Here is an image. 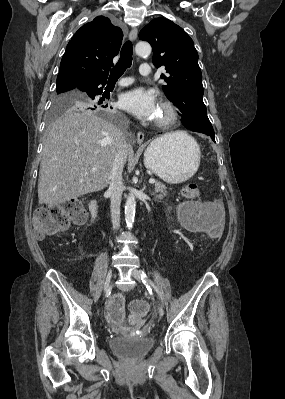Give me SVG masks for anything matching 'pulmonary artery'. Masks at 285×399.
Segmentation results:
<instances>
[{
	"mask_svg": "<svg viewBox=\"0 0 285 399\" xmlns=\"http://www.w3.org/2000/svg\"><path fill=\"white\" fill-rule=\"evenodd\" d=\"M139 74L142 77H150L152 75V70H151V65L150 63H141L139 67ZM132 81L130 79H124L119 82V85L121 86H127L131 84Z\"/></svg>",
	"mask_w": 285,
	"mask_h": 399,
	"instance_id": "pulmonary-artery-1",
	"label": "pulmonary artery"
}]
</instances>
